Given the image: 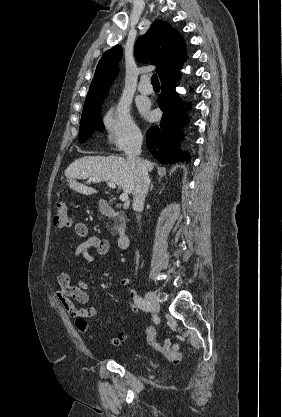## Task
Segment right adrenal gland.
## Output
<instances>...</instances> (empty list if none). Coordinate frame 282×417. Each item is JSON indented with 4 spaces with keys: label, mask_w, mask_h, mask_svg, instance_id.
I'll return each mask as SVG.
<instances>
[{
    "label": "right adrenal gland",
    "mask_w": 282,
    "mask_h": 417,
    "mask_svg": "<svg viewBox=\"0 0 282 417\" xmlns=\"http://www.w3.org/2000/svg\"><path fill=\"white\" fill-rule=\"evenodd\" d=\"M153 186H154V184H153V182H151L150 190H153Z\"/></svg>",
    "instance_id": "right-adrenal-gland-1"
}]
</instances>
